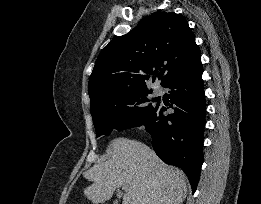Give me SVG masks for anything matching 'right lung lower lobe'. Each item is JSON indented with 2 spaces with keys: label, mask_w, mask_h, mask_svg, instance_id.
I'll return each instance as SVG.
<instances>
[{
  "label": "right lung lower lobe",
  "mask_w": 261,
  "mask_h": 204,
  "mask_svg": "<svg viewBox=\"0 0 261 204\" xmlns=\"http://www.w3.org/2000/svg\"><path fill=\"white\" fill-rule=\"evenodd\" d=\"M202 64L194 65L169 80L170 105L174 112L165 116V106L156 107L137 126L143 125L152 137L156 154L167 164L184 170L196 191L203 163L202 144L205 124V95ZM175 105V107H173ZM167 106V104H166Z\"/></svg>",
  "instance_id": "1"
}]
</instances>
